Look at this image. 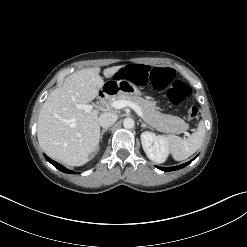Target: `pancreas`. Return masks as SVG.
<instances>
[{
	"label": "pancreas",
	"instance_id": "pancreas-1",
	"mask_svg": "<svg viewBox=\"0 0 247 247\" xmlns=\"http://www.w3.org/2000/svg\"><path fill=\"white\" fill-rule=\"evenodd\" d=\"M118 100L131 101L137 104L143 112V119L160 132L179 134L184 132L189 126L180 117L158 111L156 102L154 101L122 93L110 98V102Z\"/></svg>",
	"mask_w": 247,
	"mask_h": 247
}]
</instances>
